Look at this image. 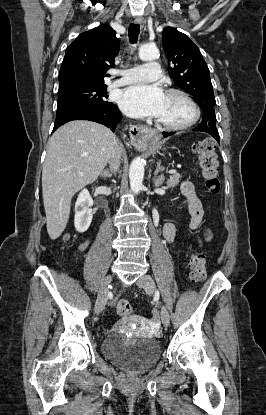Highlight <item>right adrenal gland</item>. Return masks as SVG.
I'll return each mask as SVG.
<instances>
[{
	"label": "right adrenal gland",
	"mask_w": 266,
	"mask_h": 415,
	"mask_svg": "<svg viewBox=\"0 0 266 415\" xmlns=\"http://www.w3.org/2000/svg\"><path fill=\"white\" fill-rule=\"evenodd\" d=\"M111 175H112V171H109L108 169L107 170H103L100 173V176L103 177V178H110Z\"/></svg>",
	"instance_id": "obj_1"
}]
</instances>
